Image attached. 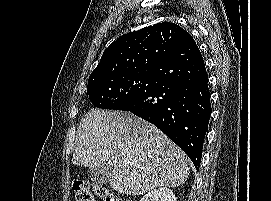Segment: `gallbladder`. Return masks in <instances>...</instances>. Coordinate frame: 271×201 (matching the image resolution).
Listing matches in <instances>:
<instances>
[{"label": "gallbladder", "instance_id": "1", "mask_svg": "<svg viewBox=\"0 0 271 201\" xmlns=\"http://www.w3.org/2000/svg\"><path fill=\"white\" fill-rule=\"evenodd\" d=\"M111 168L107 163L94 166L89 169L88 174L96 184H108L110 181Z\"/></svg>", "mask_w": 271, "mask_h": 201}]
</instances>
